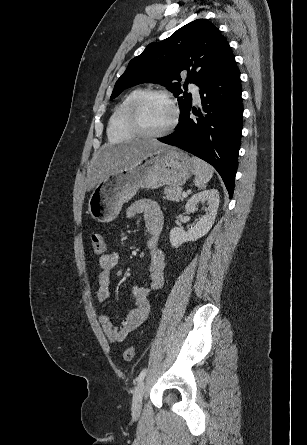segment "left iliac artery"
Here are the masks:
<instances>
[{
	"mask_svg": "<svg viewBox=\"0 0 307 445\" xmlns=\"http://www.w3.org/2000/svg\"><path fill=\"white\" fill-rule=\"evenodd\" d=\"M146 373H147V369L144 368V369L140 372L139 376L137 377V382H138V383H140V382L144 379V377L146 376Z\"/></svg>",
	"mask_w": 307,
	"mask_h": 445,
	"instance_id": "left-iliac-artery-1",
	"label": "left iliac artery"
}]
</instances>
